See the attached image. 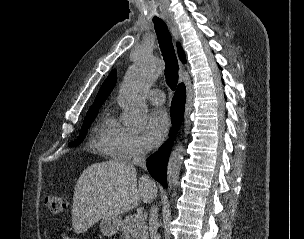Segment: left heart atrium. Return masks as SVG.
I'll return each mask as SVG.
<instances>
[{"mask_svg":"<svg viewBox=\"0 0 304 239\" xmlns=\"http://www.w3.org/2000/svg\"><path fill=\"white\" fill-rule=\"evenodd\" d=\"M170 125L167 112L163 109L155 110L148 118L145 140L149 147L157 146L165 137Z\"/></svg>","mask_w":304,"mask_h":239,"instance_id":"1","label":"left heart atrium"}]
</instances>
